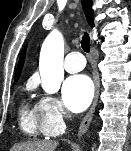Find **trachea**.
Segmentation results:
<instances>
[{
  "label": "trachea",
  "mask_w": 131,
  "mask_h": 151,
  "mask_svg": "<svg viewBox=\"0 0 131 151\" xmlns=\"http://www.w3.org/2000/svg\"><path fill=\"white\" fill-rule=\"evenodd\" d=\"M81 46L85 52H90V38L87 33H85L82 37Z\"/></svg>",
  "instance_id": "3493384b"
}]
</instances>
